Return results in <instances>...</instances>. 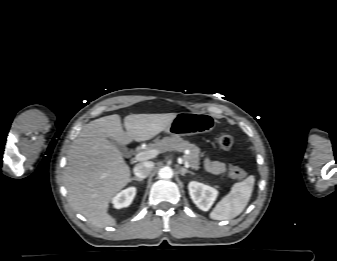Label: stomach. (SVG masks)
Instances as JSON below:
<instances>
[{
    "label": "stomach",
    "instance_id": "0dacf381",
    "mask_svg": "<svg viewBox=\"0 0 337 261\" xmlns=\"http://www.w3.org/2000/svg\"><path fill=\"white\" fill-rule=\"evenodd\" d=\"M213 116L203 112H180L176 114L166 132L173 136H190L214 129Z\"/></svg>",
    "mask_w": 337,
    "mask_h": 261
}]
</instances>
